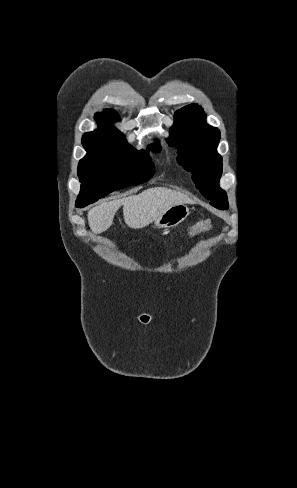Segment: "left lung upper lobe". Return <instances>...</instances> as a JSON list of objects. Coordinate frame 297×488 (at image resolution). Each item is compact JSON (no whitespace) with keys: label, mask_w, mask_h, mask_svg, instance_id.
Masks as SVG:
<instances>
[{"label":"left lung upper lobe","mask_w":297,"mask_h":488,"mask_svg":"<svg viewBox=\"0 0 297 488\" xmlns=\"http://www.w3.org/2000/svg\"><path fill=\"white\" fill-rule=\"evenodd\" d=\"M201 107L190 104L175 114L168 144L178 148V162L192 171V179L201 194L219 209L228 207L227 195L219 187L222 158L217 153L220 131L205 123Z\"/></svg>","instance_id":"5c2ea615"}]
</instances>
